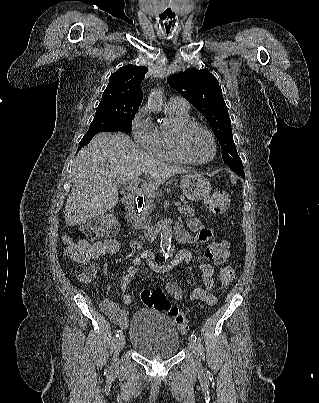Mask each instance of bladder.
Wrapping results in <instances>:
<instances>
[{
	"mask_svg": "<svg viewBox=\"0 0 319 403\" xmlns=\"http://www.w3.org/2000/svg\"><path fill=\"white\" fill-rule=\"evenodd\" d=\"M130 345L134 351L151 360L176 355L179 333L170 317L153 309H139L129 323Z\"/></svg>",
	"mask_w": 319,
	"mask_h": 403,
	"instance_id": "obj_1",
	"label": "bladder"
}]
</instances>
